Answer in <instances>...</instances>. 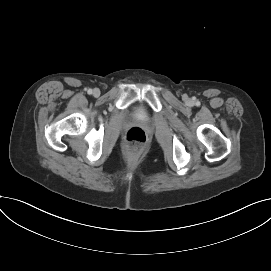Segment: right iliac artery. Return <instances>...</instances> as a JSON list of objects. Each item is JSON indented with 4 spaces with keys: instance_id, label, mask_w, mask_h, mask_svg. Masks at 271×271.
Segmentation results:
<instances>
[{
    "instance_id": "1",
    "label": "right iliac artery",
    "mask_w": 271,
    "mask_h": 271,
    "mask_svg": "<svg viewBox=\"0 0 271 271\" xmlns=\"http://www.w3.org/2000/svg\"><path fill=\"white\" fill-rule=\"evenodd\" d=\"M87 92H88V94H92L93 90L92 89H88Z\"/></svg>"
}]
</instances>
